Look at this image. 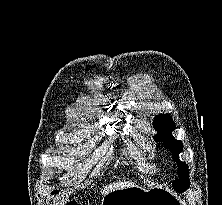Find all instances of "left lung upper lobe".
<instances>
[{
    "mask_svg": "<svg viewBox=\"0 0 222 205\" xmlns=\"http://www.w3.org/2000/svg\"><path fill=\"white\" fill-rule=\"evenodd\" d=\"M153 127L157 131L155 141L163 142L164 146L173 154V159L178 163L179 179L174 181V188L178 192H183L189 187L188 165L179 160V154L183 150V145L180 141L171 136L175 129V123L168 114L157 115L153 121Z\"/></svg>",
    "mask_w": 222,
    "mask_h": 205,
    "instance_id": "obj_1",
    "label": "left lung upper lobe"
}]
</instances>
